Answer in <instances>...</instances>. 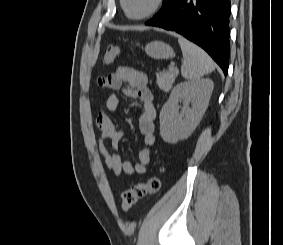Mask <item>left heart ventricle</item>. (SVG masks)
I'll use <instances>...</instances> for the list:
<instances>
[{"mask_svg":"<svg viewBox=\"0 0 283 245\" xmlns=\"http://www.w3.org/2000/svg\"><path fill=\"white\" fill-rule=\"evenodd\" d=\"M155 0H125V6L130 15L137 16L152 8Z\"/></svg>","mask_w":283,"mask_h":245,"instance_id":"1","label":"left heart ventricle"}]
</instances>
